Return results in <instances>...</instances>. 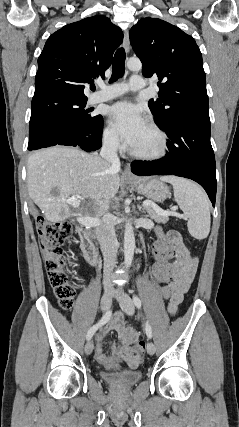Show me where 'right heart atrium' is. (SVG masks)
I'll return each mask as SVG.
<instances>
[{
  "mask_svg": "<svg viewBox=\"0 0 239 427\" xmlns=\"http://www.w3.org/2000/svg\"><path fill=\"white\" fill-rule=\"evenodd\" d=\"M102 140L105 147L111 151H118L121 148L120 138L111 127L104 128Z\"/></svg>",
  "mask_w": 239,
  "mask_h": 427,
  "instance_id": "right-heart-atrium-1",
  "label": "right heart atrium"
}]
</instances>
